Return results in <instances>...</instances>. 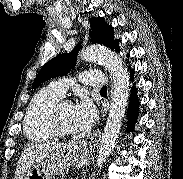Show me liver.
Instances as JSON below:
<instances>
[{
    "instance_id": "liver-1",
    "label": "liver",
    "mask_w": 183,
    "mask_h": 179,
    "mask_svg": "<svg viewBox=\"0 0 183 179\" xmlns=\"http://www.w3.org/2000/svg\"><path fill=\"white\" fill-rule=\"evenodd\" d=\"M64 144L59 142H49L38 144L26 148L17 163L15 170V179H23L25 174L37 163L46 159L51 152L59 149Z\"/></svg>"
}]
</instances>
